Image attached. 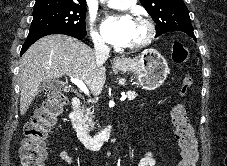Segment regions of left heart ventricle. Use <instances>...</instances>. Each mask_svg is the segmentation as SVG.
<instances>
[{
  "label": "left heart ventricle",
  "instance_id": "1",
  "mask_svg": "<svg viewBox=\"0 0 227 166\" xmlns=\"http://www.w3.org/2000/svg\"><path fill=\"white\" fill-rule=\"evenodd\" d=\"M144 35H145L144 26L140 22L135 21L133 23V31L128 44H133L135 42H138L144 37Z\"/></svg>",
  "mask_w": 227,
  "mask_h": 166
}]
</instances>
